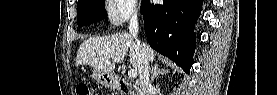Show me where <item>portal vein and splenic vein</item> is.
Instances as JSON below:
<instances>
[{"instance_id": "18ae733b", "label": "portal vein and splenic vein", "mask_w": 277, "mask_h": 95, "mask_svg": "<svg viewBox=\"0 0 277 95\" xmlns=\"http://www.w3.org/2000/svg\"><path fill=\"white\" fill-rule=\"evenodd\" d=\"M112 60L114 62H121L123 60V58L113 57ZM128 76H129V78H135L137 76V70H134V69L129 70Z\"/></svg>"}]
</instances>
